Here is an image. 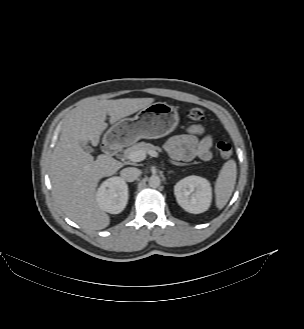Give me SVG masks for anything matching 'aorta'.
<instances>
[{
	"instance_id": "762f6f07",
	"label": "aorta",
	"mask_w": 304,
	"mask_h": 329,
	"mask_svg": "<svg viewBox=\"0 0 304 329\" xmlns=\"http://www.w3.org/2000/svg\"><path fill=\"white\" fill-rule=\"evenodd\" d=\"M160 183H161V180H160L159 176H157V175H152L148 179V184L152 188L159 187L160 186Z\"/></svg>"
}]
</instances>
